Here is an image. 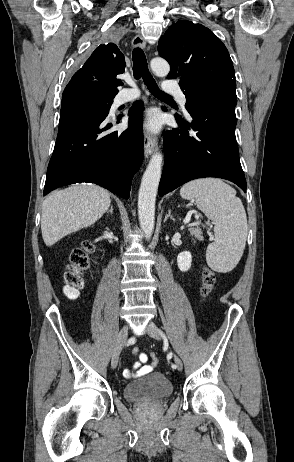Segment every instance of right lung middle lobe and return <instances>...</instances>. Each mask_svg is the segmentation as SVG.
<instances>
[{
    "label": "right lung middle lobe",
    "instance_id": "dd1d6c3e",
    "mask_svg": "<svg viewBox=\"0 0 294 462\" xmlns=\"http://www.w3.org/2000/svg\"><path fill=\"white\" fill-rule=\"evenodd\" d=\"M110 33L108 37H113ZM114 96L94 93H74L62 99L60 122L69 118L86 117L97 114L108 115Z\"/></svg>",
    "mask_w": 294,
    "mask_h": 462
}]
</instances>
